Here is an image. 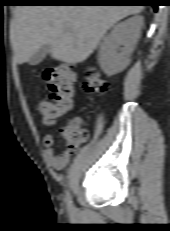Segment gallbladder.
<instances>
[{
  "label": "gallbladder",
  "mask_w": 170,
  "mask_h": 231,
  "mask_svg": "<svg viewBox=\"0 0 170 231\" xmlns=\"http://www.w3.org/2000/svg\"><path fill=\"white\" fill-rule=\"evenodd\" d=\"M50 52V45L45 44L42 47H40L36 53L30 58L29 63L30 65H38L40 62L43 61V59L48 55Z\"/></svg>",
  "instance_id": "gallbladder-1"
}]
</instances>
